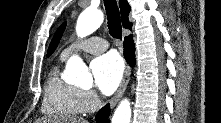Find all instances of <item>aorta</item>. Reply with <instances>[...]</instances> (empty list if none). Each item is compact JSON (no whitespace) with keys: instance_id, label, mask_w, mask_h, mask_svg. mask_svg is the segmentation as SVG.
<instances>
[{"instance_id":"1","label":"aorta","mask_w":221,"mask_h":123,"mask_svg":"<svg viewBox=\"0 0 221 123\" xmlns=\"http://www.w3.org/2000/svg\"><path fill=\"white\" fill-rule=\"evenodd\" d=\"M104 15L98 9L87 8L78 17L76 33L80 38H84L96 31L103 23ZM66 74L70 82L84 87L91 86L93 79L85 63L79 56H72L66 64ZM131 106L128 99L120 102L116 108L112 123H130Z\"/></svg>"}]
</instances>
